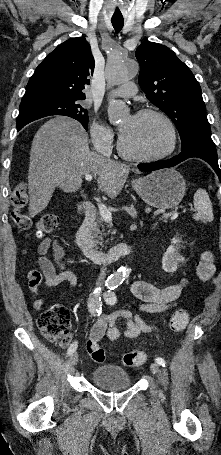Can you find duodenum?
<instances>
[{"mask_svg": "<svg viewBox=\"0 0 221 455\" xmlns=\"http://www.w3.org/2000/svg\"><path fill=\"white\" fill-rule=\"evenodd\" d=\"M82 210L84 221L77 231L76 241L89 259L95 262L109 264L130 253L131 246L125 243L117 244L107 251L97 249L90 238V229L96 218V207L88 202H84Z\"/></svg>", "mask_w": 221, "mask_h": 455, "instance_id": "410a0bca", "label": "duodenum"}]
</instances>
